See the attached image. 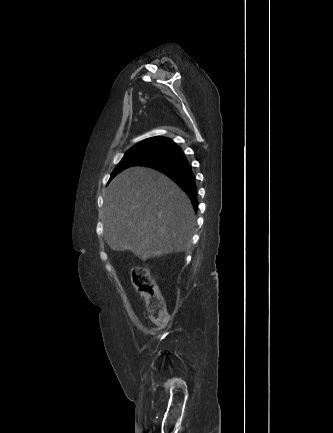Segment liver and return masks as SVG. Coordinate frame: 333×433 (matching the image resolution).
<instances>
[{
  "label": "liver",
  "instance_id": "6515ba94",
  "mask_svg": "<svg viewBox=\"0 0 333 433\" xmlns=\"http://www.w3.org/2000/svg\"><path fill=\"white\" fill-rule=\"evenodd\" d=\"M102 222L112 250H129L145 261L187 248L194 210L170 178L150 168L130 167L109 184Z\"/></svg>",
  "mask_w": 333,
  "mask_h": 433
}]
</instances>
